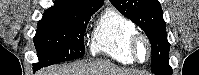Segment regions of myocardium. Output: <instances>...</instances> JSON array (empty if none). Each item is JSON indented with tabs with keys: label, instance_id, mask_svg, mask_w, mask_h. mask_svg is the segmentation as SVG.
I'll list each match as a JSON object with an SVG mask.
<instances>
[{
	"label": "myocardium",
	"instance_id": "myocardium-1",
	"mask_svg": "<svg viewBox=\"0 0 199 75\" xmlns=\"http://www.w3.org/2000/svg\"><path fill=\"white\" fill-rule=\"evenodd\" d=\"M141 41L147 45V49H148V54L144 61L140 60L137 55V45ZM129 45H130V51H131L132 57L135 62L139 64H144L145 62H148L150 60L151 55H152V45L149 38L144 33L135 31L130 37Z\"/></svg>",
	"mask_w": 199,
	"mask_h": 75
}]
</instances>
